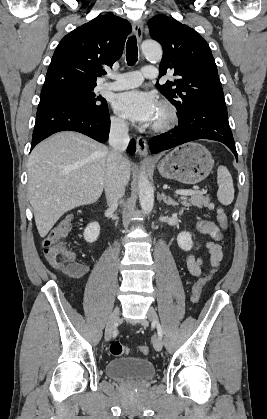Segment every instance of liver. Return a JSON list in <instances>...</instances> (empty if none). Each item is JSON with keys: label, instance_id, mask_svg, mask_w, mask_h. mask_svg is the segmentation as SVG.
<instances>
[{"label": "liver", "instance_id": "liver-1", "mask_svg": "<svg viewBox=\"0 0 267 419\" xmlns=\"http://www.w3.org/2000/svg\"><path fill=\"white\" fill-rule=\"evenodd\" d=\"M109 150L77 132L56 133L39 143L28 161V193L43 238L66 212L101 196ZM127 182L131 165L123 158Z\"/></svg>", "mask_w": 267, "mask_h": 419}]
</instances>
